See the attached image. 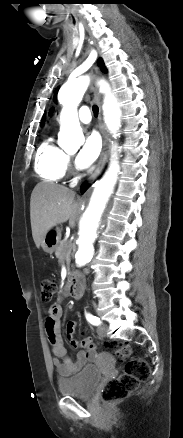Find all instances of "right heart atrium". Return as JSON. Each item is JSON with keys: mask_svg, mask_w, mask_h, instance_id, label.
Wrapping results in <instances>:
<instances>
[{"mask_svg": "<svg viewBox=\"0 0 183 438\" xmlns=\"http://www.w3.org/2000/svg\"><path fill=\"white\" fill-rule=\"evenodd\" d=\"M69 163H70V160H69V158L67 159V166L69 165Z\"/></svg>", "mask_w": 183, "mask_h": 438, "instance_id": "1", "label": "right heart atrium"}]
</instances>
